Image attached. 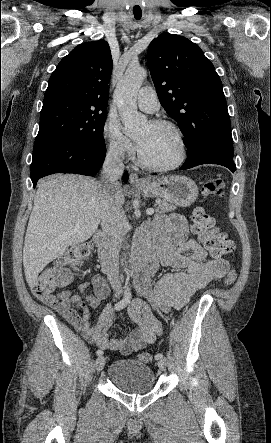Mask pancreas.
Wrapping results in <instances>:
<instances>
[{"instance_id":"cf45deb5","label":"pancreas","mask_w":271,"mask_h":443,"mask_svg":"<svg viewBox=\"0 0 271 443\" xmlns=\"http://www.w3.org/2000/svg\"><path fill=\"white\" fill-rule=\"evenodd\" d=\"M157 206V212H161V214H164V212H172V210H176V206H173L171 202H165V200H158Z\"/></svg>"}]
</instances>
